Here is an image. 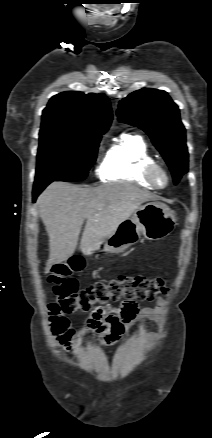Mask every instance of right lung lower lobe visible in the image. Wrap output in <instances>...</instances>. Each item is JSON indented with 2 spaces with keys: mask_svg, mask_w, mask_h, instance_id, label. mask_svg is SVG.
I'll return each instance as SVG.
<instances>
[{
  "mask_svg": "<svg viewBox=\"0 0 212 438\" xmlns=\"http://www.w3.org/2000/svg\"><path fill=\"white\" fill-rule=\"evenodd\" d=\"M50 184V182H44V183H34L33 188V202L36 201L37 196L44 190V188Z\"/></svg>",
  "mask_w": 212,
  "mask_h": 438,
  "instance_id": "obj_1",
  "label": "right lung lower lobe"
}]
</instances>
